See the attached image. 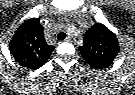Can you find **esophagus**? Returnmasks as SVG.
I'll return each instance as SVG.
<instances>
[{
	"label": "esophagus",
	"mask_w": 135,
	"mask_h": 95,
	"mask_svg": "<svg viewBox=\"0 0 135 95\" xmlns=\"http://www.w3.org/2000/svg\"><path fill=\"white\" fill-rule=\"evenodd\" d=\"M66 42H74L75 41V38L73 36H68L66 39H65Z\"/></svg>",
	"instance_id": "1"
}]
</instances>
